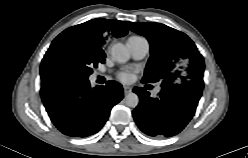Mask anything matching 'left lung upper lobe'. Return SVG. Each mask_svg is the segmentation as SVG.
Wrapping results in <instances>:
<instances>
[{
	"mask_svg": "<svg viewBox=\"0 0 248 158\" xmlns=\"http://www.w3.org/2000/svg\"><path fill=\"white\" fill-rule=\"evenodd\" d=\"M126 23L150 43L143 83L161 80L162 90L180 86L203 89L204 58L186 34L160 23Z\"/></svg>",
	"mask_w": 248,
	"mask_h": 158,
	"instance_id": "left-lung-upper-lobe-1",
	"label": "left lung upper lobe"
}]
</instances>
